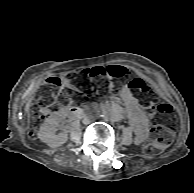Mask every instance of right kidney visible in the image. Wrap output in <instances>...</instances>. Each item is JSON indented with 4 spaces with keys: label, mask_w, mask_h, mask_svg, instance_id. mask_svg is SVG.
Returning a JSON list of instances; mask_svg holds the SVG:
<instances>
[{
    "label": "right kidney",
    "mask_w": 194,
    "mask_h": 193,
    "mask_svg": "<svg viewBox=\"0 0 194 193\" xmlns=\"http://www.w3.org/2000/svg\"><path fill=\"white\" fill-rule=\"evenodd\" d=\"M60 122V117L53 113L45 119L44 123L40 127L38 133L40 140L51 148L59 147L68 140V135L65 132L56 134L57 126Z\"/></svg>",
    "instance_id": "right-kidney-1"
}]
</instances>
